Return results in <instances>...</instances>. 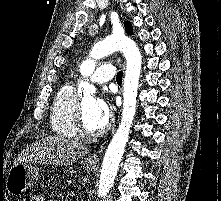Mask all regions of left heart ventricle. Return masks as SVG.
I'll list each match as a JSON object with an SVG mask.
<instances>
[{"instance_id":"b2bd125f","label":"left heart ventricle","mask_w":221,"mask_h":201,"mask_svg":"<svg viewBox=\"0 0 221 201\" xmlns=\"http://www.w3.org/2000/svg\"><path fill=\"white\" fill-rule=\"evenodd\" d=\"M83 113H84V122L88 130L90 131H98L100 130L105 124L104 121L96 110V100L94 98H87L82 102Z\"/></svg>"}]
</instances>
